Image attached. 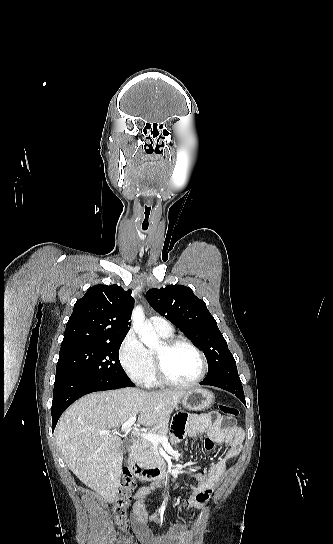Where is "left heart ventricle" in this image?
Masks as SVG:
<instances>
[{
	"label": "left heart ventricle",
	"mask_w": 333,
	"mask_h": 544,
	"mask_svg": "<svg viewBox=\"0 0 333 544\" xmlns=\"http://www.w3.org/2000/svg\"><path fill=\"white\" fill-rule=\"evenodd\" d=\"M155 352L163 356L166 373L174 381L188 382L196 378L201 372L200 357L187 346L181 345L164 352L161 344Z\"/></svg>",
	"instance_id": "obj_1"
}]
</instances>
